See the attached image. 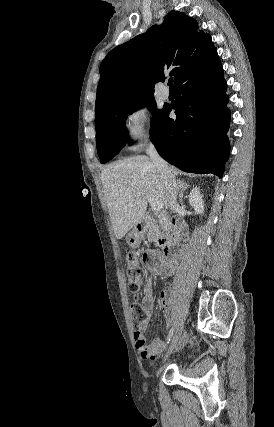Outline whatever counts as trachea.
Wrapping results in <instances>:
<instances>
[{"instance_id": "1", "label": "trachea", "mask_w": 274, "mask_h": 427, "mask_svg": "<svg viewBox=\"0 0 274 427\" xmlns=\"http://www.w3.org/2000/svg\"><path fill=\"white\" fill-rule=\"evenodd\" d=\"M168 85L170 88H173V79L172 78H169Z\"/></svg>"}]
</instances>
